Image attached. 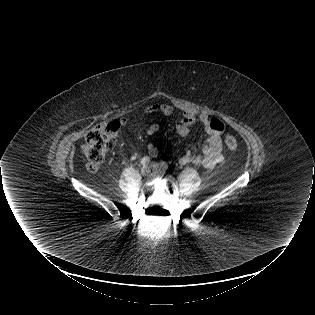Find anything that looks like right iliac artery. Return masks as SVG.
Masks as SVG:
<instances>
[{"label": "right iliac artery", "instance_id": "82829eb1", "mask_svg": "<svg viewBox=\"0 0 315 315\" xmlns=\"http://www.w3.org/2000/svg\"><path fill=\"white\" fill-rule=\"evenodd\" d=\"M149 161H150V158L148 156H145V157L142 158L141 163L143 165H146V164L149 163Z\"/></svg>", "mask_w": 315, "mask_h": 315}]
</instances>
